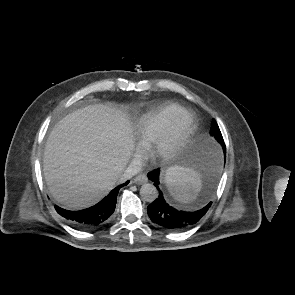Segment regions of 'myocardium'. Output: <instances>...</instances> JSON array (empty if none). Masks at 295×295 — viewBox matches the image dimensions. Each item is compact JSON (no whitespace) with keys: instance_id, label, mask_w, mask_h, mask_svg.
<instances>
[{"instance_id":"1","label":"myocardium","mask_w":295,"mask_h":295,"mask_svg":"<svg viewBox=\"0 0 295 295\" xmlns=\"http://www.w3.org/2000/svg\"><path fill=\"white\" fill-rule=\"evenodd\" d=\"M195 130V121L189 113H182L154 141L150 156L156 161H169L175 158L187 145Z\"/></svg>"}]
</instances>
